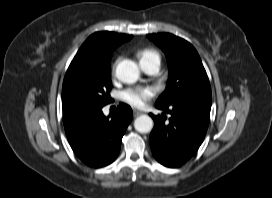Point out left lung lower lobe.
I'll use <instances>...</instances> for the list:
<instances>
[{"label": "left lung lower lobe", "instance_id": "left-lung-lower-lobe-1", "mask_svg": "<svg viewBox=\"0 0 272 198\" xmlns=\"http://www.w3.org/2000/svg\"><path fill=\"white\" fill-rule=\"evenodd\" d=\"M156 107L171 117L166 122V115L150 114L154 120L150 134L153 156L166 167H179L202 144L209 125L211 105L175 102L169 105L156 103Z\"/></svg>", "mask_w": 272, "mask_h": 198}]
</instances>
